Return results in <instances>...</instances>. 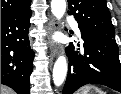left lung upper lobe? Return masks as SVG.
<instances>
[{
    "label": "left lung upper lobe",
    "instance_id": "obj_1",
    "mask_svg": "<svg viewBox=\"0 0 121 94\" xmlns=\"http://www.w3.org/2000/svg\"><path fill=\"white\" fill-rule=\"evenodd\" d=\"M68 9V14L74 15L81 31L115 38L106 0H68Z\"/></svg>",
    "mask_w": 121,
    "mask_h": 94
}]
</instances>
